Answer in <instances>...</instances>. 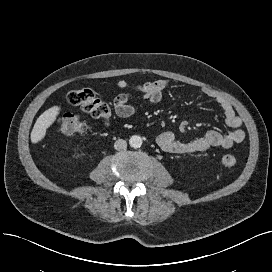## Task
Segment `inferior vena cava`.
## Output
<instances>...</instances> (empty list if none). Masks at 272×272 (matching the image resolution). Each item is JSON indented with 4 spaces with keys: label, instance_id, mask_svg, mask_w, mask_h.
I'll return each mask as SVG.
<instances>
[{
    "label": "inferior vena cava",
    "instance_id": "1",
    "mask_svg": "<svg viewBox=\"0 0 272 272\" xmlns=\"http://www.w3.org/2000/svg\"><path fill=\"white\" fill-rule=\"evenodd\" d=\"M114 148L118 151L125 150L127 148V142L123 139H118L114 144Z\"/></svg>",
    "mask_w": 272,
    "mask_h": 272
}]
</instances>
